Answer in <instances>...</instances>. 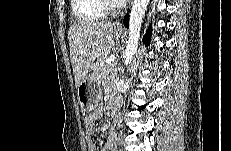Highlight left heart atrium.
Segmentation results:
<instances>
[{
    "label": "left heart atrium",
    "instance_id": "1",
    "mask_svg": "<svg viewBox=\"0 0 231 151\" xmlns=\"http://www.w3.org/2000/svg\"><path fill=\"white\" fill-rule=\"evenodd\" d=\"M117 3H126L128 2L127 0H116Z\"/></svg>",
    "mask_w": 231,
    "mask_h": 151
}]
</instances>
